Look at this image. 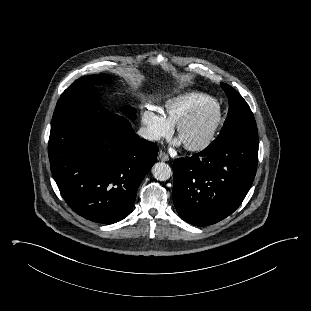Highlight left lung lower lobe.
Listing matches in <instances>:
<instances>
[{"instance_id":"1","label":"left lung lower lobe","mask_w":311,"mask_h":311,"mask_svg":"<svg viewBox=\"0 0 311 311\" xmlns=\"http://www.w3.org/2000/svg\"><path fill=\"white\" fill-rule=\"evenodd\" d=\"M258 146L257 137L237 136L176 159L173 201L179 216L202 227L232 214L253 183Z\"/></svg>"}]
</instances>
